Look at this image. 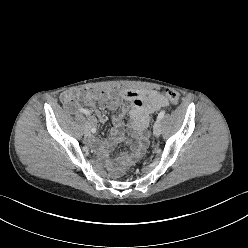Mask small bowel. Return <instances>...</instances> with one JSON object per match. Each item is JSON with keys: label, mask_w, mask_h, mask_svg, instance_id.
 <instances>
[{"label": "small bowel", "mask_w": 248, "mask_h": 248, "mask_svg": "<svg viewBox=\"0 0 248 248\" xmlns=\"http://www.w3.org/2000/svg\"><path fill=\"white\" fill-rule=\"evenodd\" d=\"M60 99L64 106L70 112L80 111L78 101L92 102L101 101L103 105L114 113L112 117L113 128L110 136L104 142L94 140L92 135H88V142L93 144L101 152L105 153L109 148L113 147L123 138L124 135V116L129 115L131 121L132 135L139 137L140 142L135 144L132 152L128 156L121 157L118 162L125 164L135 158L143 147L145 140L144 131L147 128L150 115L159 111L162 108L168 107L169 103L166 98L157 90L152 89H129L124 88L118 91L111 90H95V89H80L74 91L63 92ZM120 99L126 101L125 104H120ZM119 109V112L116 111ZM86 110V109H84ZM89 112L88 110H86ZM90 114V112H89ZM100 121L104 122V116L98 112Z\"/></svg>", "instance_id": "c3829d8e"}]
</instances>
